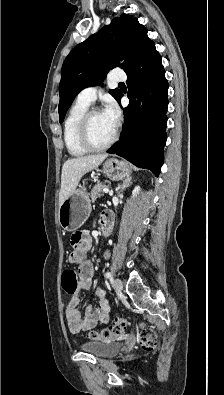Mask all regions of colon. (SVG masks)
Returning <instances> with one entry per match:
<instances>
[{
    "label": "colon",
    "mask_w": 224,
    "mask_h": 395,
    "mask_svg": "<svg viewBox=\"0 0 224 395\" xmlns=\"http://www.w3.org/2000/svg\"><path fill=\"white\" fill-rule=\"evenodd\" d=\"M77 275L73 269H67L63 273V288L68 294H74L77 289ZM128 320L125 318L118 319L112 326L98 331H90L87 337L91 340H110L122 336L128 327ZM139 344L144 350H153L157 346L156 333L142 326L139 334Z\"/></svg>",
    "instance_id": "obj_1"
}]
</instances>
